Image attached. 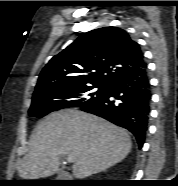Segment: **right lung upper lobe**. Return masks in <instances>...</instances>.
<instances>
[{
  "label": "right lung upper lobe",
  "mask_w": 178,
  "mask_h": 186,
  "mask_svg": "<svg viewBox=\"0 0 178 186\" xmlns=\"http://www.w3.org/2000/svg\"><path fill=\"white\" fill-rule=\"evenodd\" d=\"M138 43L127 32L104 27L82 33L54 56L39 75L35 93L94 83L109 84L121 73L144 64Z\"/></svg>",
  "instance_id": "obj_1"
}]
</instances>
